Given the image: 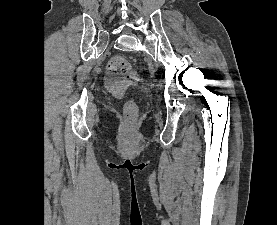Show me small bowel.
Masks as SVG:
<instances>
[{
	"instance_id": "c3829d8e",
	"label": "small bowel",
	"mask_w": 277,
	"mask_h": 225,
	"mask_svg": "<svg viewBox=\"0 0 277 225\" xmlns=\"http://www.w3.org/2000/svg\"><path fill=\"white\" fill-rule=\"evenodd\" d=\"M106 81L110 86H114L117 83L116 79L112 76H107Z\"/></svg>"
}]
</instances>
